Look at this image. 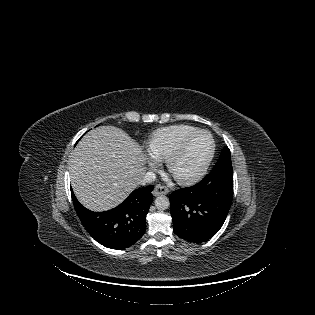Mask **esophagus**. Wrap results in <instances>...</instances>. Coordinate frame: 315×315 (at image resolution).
Returning a JSON list of instances; mask_svg holds the SVG:
<instances>
[{"label":"esophagus","instance_id":"obj_1","mask_svg":"<svg viewBox=\"0 0 315 315\" xmlns=\"http://www.w3.org/2000/svg\"><path fill=\"white\" fill-rule=\"evenodd\" d=\"M169 192L168 188L162 185H157L155 186L154 190H153V195L154 196H159V195H164L167 194Z\"/></svg>","mask_w":315,"mask_h":315}]
</instances>
